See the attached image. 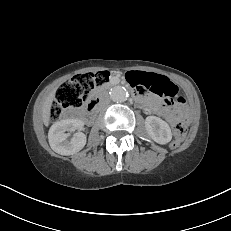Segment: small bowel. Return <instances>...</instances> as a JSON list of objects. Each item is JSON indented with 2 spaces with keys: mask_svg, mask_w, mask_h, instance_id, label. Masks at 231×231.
<instances>
[{
  "mask_svg": "<svg viewBox=\"0 0 231 231\" xmlns=\"http://www.w3.org/2000/svg\"><path fill=\"white\" fill-rule=\"evenodd\" d=\"M138 75L140 79L135 81L132 76ZM128 83H136L134 87L138 92L148 90L150 96L147 98L145 107L147 112L158 115H165L169 121H173L172 110L170 109L171 99L169 95L176 93L172 81L164 75L149 71H130L126 77ZM185 110L184 107L181 108Z\"/></svg>",
  "mask_w": 231,
  "mask_h": 231,
  "instance_id": "1",
  "label": "small bowel"
}]
</instances>
